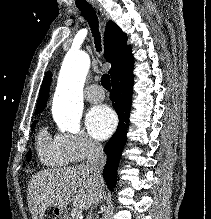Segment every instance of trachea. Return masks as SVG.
I'll return each mask as SVG.
<instances>
[{"label": "trachea", "instance_id": "obj_1", "mask_svg": "<svg viewBox=\"0 0 211 219\" xmlns=\"http://www.w3.org/2000/svg\"><path fill=\"white\" fill-rule=\"evenodd\" d=\"M78 9L81 11L85 19L87 20L91 30L92 34L95 40V47L98 52L101 51V37L99 33V25H98V17L93 9L92 6L90 5H84V6H78ZM101 84L102 86L110 90L111 84H110V76L108 74H104L101 77Z\"/></svg>", "mask_w": 211, "mask_h": 219}]
</instances>
